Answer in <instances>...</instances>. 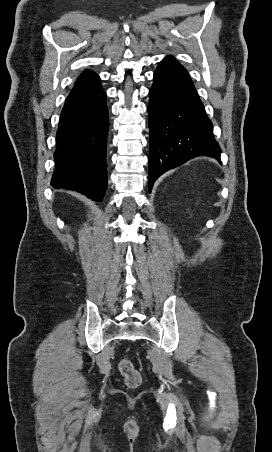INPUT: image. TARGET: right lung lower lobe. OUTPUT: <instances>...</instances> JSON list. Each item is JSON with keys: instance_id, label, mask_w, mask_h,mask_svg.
<instances>
[{"instance_id": "obj_1", "label": "right lung lower lobe", "mask_w": 272, "mask_h": 452, "mask_svg": "<svg viewBox=\"0 0 272 452\" xmlns=\"http://www.w3.org/2000/svg\"><path fill=\"white\" fill-rule=\"evenodd\" d=\"M106 93L100 78L76 83L66 98L57 130L51 185L100 202L107 188Z\"/></svg>"}]
</instances>
